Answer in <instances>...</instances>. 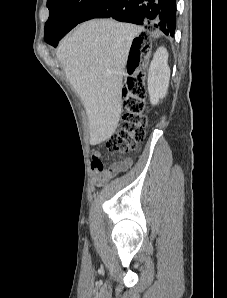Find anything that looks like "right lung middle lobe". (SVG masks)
<instances>
[{
	"label": "right lung middle lobe",
	"mask_w": 227,
	"mask_h": 298,
	"mask_svg": "<svg viewBox=\"0 0 227 298\" xmlns=\"http://www.w3.org/2000/svg\"><path fill=\"white\" fill-rule=\"evenodd\" d=\"M101 0H47L50 15L45 24L44 39L53 33L70 31Z\"/></svg>",
	"instance_id": "dd1d6c3e"
}]
</instances>
